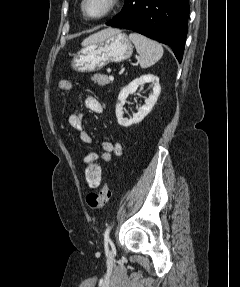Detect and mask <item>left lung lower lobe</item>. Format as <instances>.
Listing matches in <instances>:
<instances>
[{
	"mask_svg": "<svg viewBox=\"0 0 240 287\" xmlns=\"http://www.w3.org/2000/svg\"><path fill=\"white\" fill-rule=\"evenodd\" d=\"M188 0H127L106 25L126 28L169 45L182 61L187 36Z\"/></svg>",
	"mask_w": 240,
	"mask_h": 287,
	"instance_id": "0a47b994",
	"label": "left lung lower lobe"
}]
</instances>
